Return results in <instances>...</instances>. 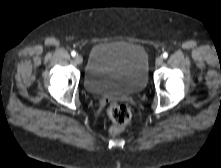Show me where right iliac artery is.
<instances>
[{"label": "right iliac artery", "mask_w": 221, "mask_h": 168, "mask_svg": "<svg viewBox=\"0 0 221 168\" xmlns=\"http://www.w3.org/2000/svg\"><path fill=\"white\" fill-rule=\"evenodd\" d=\"M71 55H72L73 57H75V56H76V52H75V51H72V52H71Z\"/></svg>", "instance_id": "right-iliac-artery-1"}]
</instances>
